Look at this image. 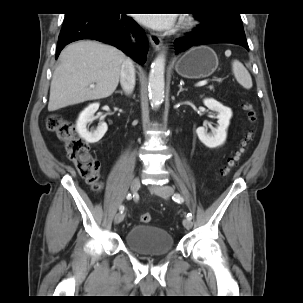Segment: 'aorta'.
I'll return each instance as SVG.
<instances>
[{
  "label": "aorta",
  "instance_id": "aorta-1",
  "mask_svg": "<svg viewBox=\"0 0 303 303\" xmlns=\"http://www.w3.org/2000/svg\"><path fill=\"white\" fill-rule=\"evenodd\" d=\"M165 54L160 53L151 65L148 80L149 99L153 107H158L164 100Z\"/></svg>",
  "mask_w": 303,
  "mask_h": 303
}]
</instances>
